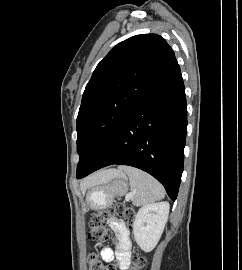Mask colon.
<instances>
[{"label":"colon","instance_id":"5ec220e1","mask_svg":"<svg viewBox=\"0 0 242 270\" xmlns=\"http://www.w3.org/2000/svg\"><path fill=\"white\" fill-rule=\"evenodd\" d=\"M122 217L127 221L134 218L135 212L132 208L123 203H116L113 207L101 209L92 214L90 219V231L88 238L91 241L102 243L112 239L108 222L112 217ZM145 266V260L142 257H136L133 260V270H140ZM89 270H116L114 265H108L102 262L97 254L91 253L88 256Z\"/></svg>","mask_w":242,"mask_h":270}]
</instances>
